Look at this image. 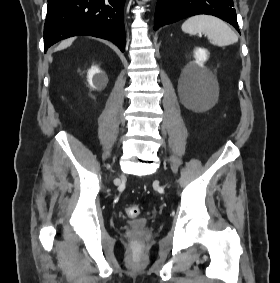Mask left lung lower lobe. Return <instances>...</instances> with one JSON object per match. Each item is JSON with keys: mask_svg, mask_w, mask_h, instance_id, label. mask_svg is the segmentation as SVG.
Masks as SVG:
<instances>
[{"mask_svg": "<svg viewBox=\"0 0 280 283\" xmlns=\"http://www.w3.org/2000/svg\"><path fill=\"white\" fill-rule=\"evenodd\" d=\"M198 14L219 17L230 23L240 33L233 0H158L154 30Z\"/></svg>", "mask_w": 280, "mask_h": 283, "instance_id": "obj_1", "label": "left lung lower lobe"}]
</instances>
